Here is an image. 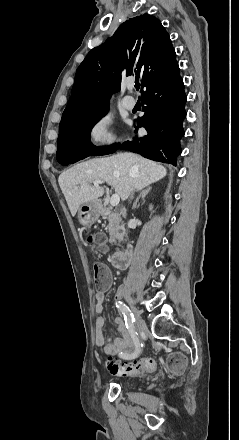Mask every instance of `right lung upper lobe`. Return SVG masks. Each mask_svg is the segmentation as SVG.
I'll use <instances>...</instances> for the list:
<instances>
[{"label": "right lung upper lobe", "instance_id": "right-lung-upper-lobe-1", "mask_svg": "<svg viewBox=\"0 0 239 440\" xmlns=\"http://www.w3.org/2000/svg\"><path fill=\"white\" fill-rule=\"evenodd\" d=\"M176 63L172 42L157 18L143 14L127 20L78 67L60 123L109 106L125 76L141 79L143 91Z\"/></svg>", "mask_w": 239, "mask_h": 440}]
</instances>
